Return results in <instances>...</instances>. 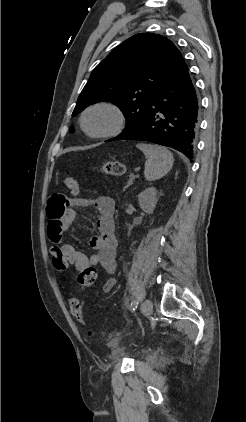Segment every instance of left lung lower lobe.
Here are the masks:
<instances>
[{"mask_svg":"<svg viewBox=\"0 0 246 422\" xmlns=\"http://www.w3.org/2000/svg\"><path fill=\"white\" fill-rule=\"evenodd\" d=\"M198 130L199 97L182 57L150 100L139 124L108 141H149L174 148L192 161Z\"/></svg>","mask_w":246,"mask_h":422,"instance_id":"0a47b994","label":"left lung lower lobe"}]
</instances>
